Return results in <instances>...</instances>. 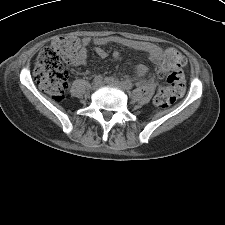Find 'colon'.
Returning a JSON list of instances; mask_svg holds the SVG:
<instances>
[{
	"instance_id": "colon-1",
	"label": "colon",
	"mask_w": 225,
	"mask_h": 225,
	"mask_svg": "<svg viewBox=\"0 0 225 225\" xmlns=\"http://www.w3.org/2000/svg\"><path fill=\"white\" fill-rule=\"evenodd\" d=\"M79 42L73 36H61L52 41L39 53L34 65V76L40 88L52 99L64 98L68 86L65 64H74L78 55ZM186 64L185 56L177 49L165 52L164 62L156 70L158 78H165L166 85L154 96V105L169 108L184 92V75L181 68Z\"/></svg>"
}]
</instances>
